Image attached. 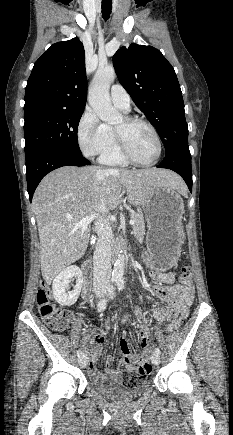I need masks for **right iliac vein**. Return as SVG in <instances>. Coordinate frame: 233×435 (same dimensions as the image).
Wrapping results in <instances>:
<instances>
[{
  "label": "right iliac vein",
  "instance_id": "obj_1",
  "mask_svg": "<svg viewBox=\"0 0 233 435\" xmlns=\"http://www.w3.org/2000/svg\"><path fill=\"white\" fill-rule=\"evenodd\" d=\"M103 293H104V290L102 289V290H100V291H98L97 292V296L98 297H101L102 295H103ZM88 356L87 355H81L80 357H79V364H80V366H82V367H85V366H87V364H88Z\"/></svg>",
  "mask_w": 233,
  "mask_h": 435
}]
</instances>
